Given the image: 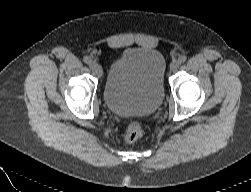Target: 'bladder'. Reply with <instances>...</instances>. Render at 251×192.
Returning <instances> with one entry per match:
<instances>
[{
	"label": "bladder",
	"mask_w": 251,
	"mask_h": 192,
	"mask_svg": "<svg viewBox=\"0 0 251 192\" xmlns=\"http://www.w3.org/2000/svg\"><path fill=\"white\" fill-rule=\"evenodd\" d=\"M166 61L152 48H127L108 71L103 90L107 108L119 116H144L158 110L164 98Z\"/></svg>",
	"instance_id": "bladder-1"
}]
</instances>
